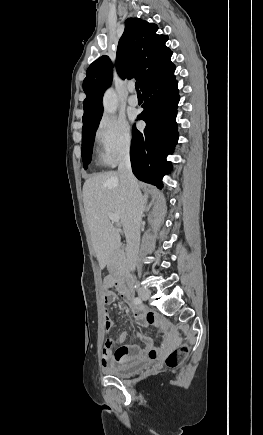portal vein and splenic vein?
<instances>
[{
    "mask_svg": "<svg viewBox=\"0 0 263 435\" xmlns=\"http://www.w3.org/2000/svg\"><path fill=\"white\" fill-rule=\"evenodd\" d=\"M108 217L110 218V220L112 221V222H119V220H120V218H119V216L117 215V214H112V213H109L108 214Z\"/></svg>",
    "mask_w": 263,
    "mask_h": 435,
    "instance_id": "1",
    "label": "portal vein and splenic vein"
}]
</instances>
